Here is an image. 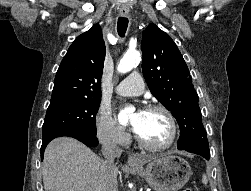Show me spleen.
<instances>
[{"instance_id": "spleen-1", "label": "spleen", "mask_w": 251, "mask_h": 191, "mask_svg": "<svg viewBox=\"0 0 251 191\" xmlns=\"http://www.w3.org/2000/svg\"><path fill=\"white\" fill-rule=\"evenodd\" d=\"M202 183H208V177H207L206 173H203V175H202Z\"/></svg>"}]
</instances>
